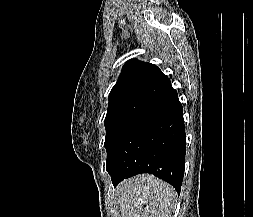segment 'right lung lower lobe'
I'll return each mask as SVG.
<instances>
[{
    "label": "right lung lower lobe",
    "mask_w": 253,
    "mask_h": 217,
    "mask_svg": "<svg viewBox=\"0 0 253 217\" xmlns=\"http://www.w3.org/2000/svg\"><path fill=\"white\" fill-rule=\"evenodd\" d=\"M185 147L182 105L171 87L126 130L107 162V171L114 186L136 174L151 173L180 192Z\"/></svg>",
    "instance_id": "right-lung-lower-lobe-1"
}]
</instances>
